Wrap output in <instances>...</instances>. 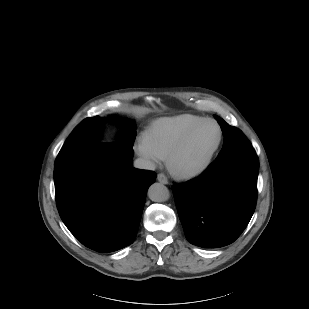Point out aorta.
<instances>
[{
  "label": "aorta",
  "instance_id": "762f6f07",
  "mask_svg": "<svg viewBox=\"0 0 309 309\" xmlns=\"http://www.w3.org/2000/svg\"><path fill=\"white\" fill-rule=\"evenodd\" d=\"M148 196L154 202H164L169 199L170 193L162 183H154L148 189Z\"/></svg>",
  "mask_w": 309,
  "mask_h": 309
}]
</instances>
